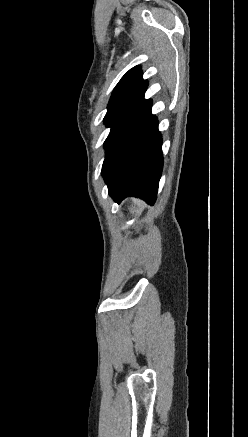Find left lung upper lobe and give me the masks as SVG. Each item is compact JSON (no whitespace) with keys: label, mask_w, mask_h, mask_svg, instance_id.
Returning a JSON list of instances; mask_svg holds the SVG:
<instances>
[{"label":"left lung upper lobe","mask_w":248,"mask_h":437,"mask_svg":"<svg viewBox=\"0 0 248 437\" xmlns=\"http://www.w3.org/2000/svg\"><path fill=\"white\" fill-rule=\"evenodd\" d=\"M147 86L148 82L143 80L140 66L130 69L118 82L111 95L108 111L104 117L106 126L111 127L104 146H106L115 130L147 101L144 99Z\"/></svg>","instance_id":"obj_1"}]
</instances>
